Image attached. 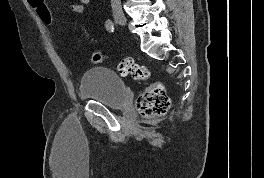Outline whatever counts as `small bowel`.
<instances>
[{
    "label": "small bowel",
    "mask_w": 264,
    "mask_h": 178,
    "mask_svg": "<svg viewBox=\"0 0 264 178\" xmlns=\"http://www.w3.org/2000/svg\"><path fill=\"white\" fill-rule=\"evenodd\" d=\"M89 3L90 0H76L70 5L69 10L75 14H83L88 8Z\"/></svg>",
    "instance_id": "c3829d8e"
}]
</instances>
